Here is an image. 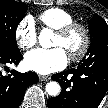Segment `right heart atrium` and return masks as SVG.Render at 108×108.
Segmentation results:
<instances>
[{"label": "right heart atrium", "mask_w": 108, "mask_h": 108, "mask_svg": "<svg viewBox=\"0 0 108 108\" xmlns=\"http://www.w3.org/2000/svg\"><path fill=\"white\" fill-rule=\"evenodd\" d=\"M15 39L22 50L33 47L37 42V31L33 19L30 16L24 17L15 28Z\"/></svg>", "instance_id": "1"}]
</instances>
